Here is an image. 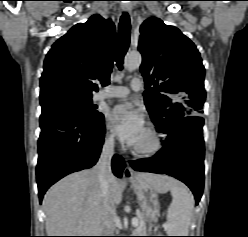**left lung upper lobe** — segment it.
<instances>
[{"label": "left lung upper lobe", "mask_w": 248, "mask_h": 237, "mask_svg": "<svg viewBox=\"0 0 248 237\" xmlns=\"http://www.w3.org/2000/svg\"><path fill=\"white\" fill-rule=\"evenodd\" d=\"M140 33L144 101L157 131L165 134L177 120L202 112L205 69L196 46L178 28L151 17Z\"/></svg>", "instance_id": "obj_1"}]
</instances>
